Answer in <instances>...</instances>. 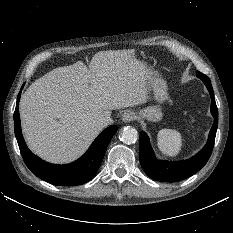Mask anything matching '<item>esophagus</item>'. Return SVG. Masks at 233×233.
Listing matches in <instances>:
<instances>
[{
	"label": "esophagus",
	"mask_w": 233,
	"mask_h": 233,
	"mask_svg": "<svg viewBox=\"0 0 233 233\" xmlns=\"http://www.w3.org/2000/svg\"><path fill=\"white\" fill-rule=\"evenodd\" d=\"M135 117V113L131 110H127L122 114V121L123 122H131Z\"/></svg>",
	"instance_id": "esophagus-1"
}]
</instances>
